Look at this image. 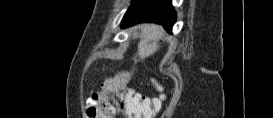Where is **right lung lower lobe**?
Listing matches in <instances>:
<instances>
[{
  "label": "right lung lower lobe",
  "mask_w": 273,
  "mask_h": 118,
  "mask_svg": "<svg viewBox=\"0 0 273 118\" xmlns=\"http://www.w3.org/2000/svg\"><path fill=\"white\" fill-rule=\"evenodd\" d=\"M176 13L170 0H134L125 13L122 27L136 23H157L171 32Z\"/></svg>",
  "instance_id": "right-lung-lower-lobe-1"
}]
</instances>
